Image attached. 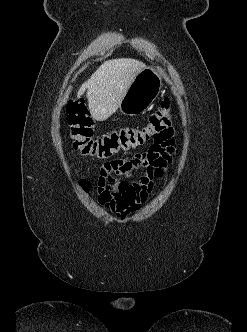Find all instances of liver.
Here are the masks:
<instances>
[{"label": "liver", "mask_w": 247, "mask_h": 332, "mask_svg": "<svg viewBox=\"0 0 247 332\" xmlns=\"http://www.w3.org/2000/svg\"><path fill=\"white\" fill-rule=\"evenodd\" d=\"M146 65L130 58L104 62L78 91L80 97L87 89L88 106L96 121H105L116 112L132 81Z\"/></svg>", "instance_id": "liver-1"}]
</instances>
